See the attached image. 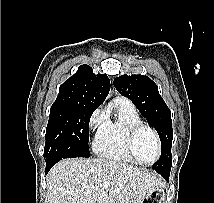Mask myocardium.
<instances>
[{
	"instance_id": "f54148a6",
	"label": "myocardium",
	"mask_w": 214,
	"mask_h": 203,
	"mask_svg": "<svg viewBox=\"0 0 214 203\" xmlns=\"http://www.w3.org/2000/svg\"><path fill=\"white\" fill-rule=\"evenodd\" d=\"M143 130H148L152 133L154 139H155V142H156V146H157V155H156V158L151 161V162H144L142 161L138 155L136 154V151H135V141H136V138L138 136V134L143 131ZM126 147H127V151L128 153L130 154V156L139 164H142V165H146V166H150V165H153L155 164L160 156H161V153H162V145H161V141H160V137L157 133V131L152 128L151 126L147 125V124H144V123H141V124H137L135 126H133L128 134H127V139H126Z\"/></svg>"
}]
</instances>
